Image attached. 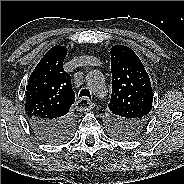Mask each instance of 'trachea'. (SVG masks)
<instances>
[{"label":"trachea","mask_w":184,"mask_h":184,"mask_svg":"<svg viewBox=\"0 0 184 184\" xmlns=\"http://www.w3.org/2000/svg\"><path fill=\"white\" fill-rule=\"evenodd\" d=\"M79 97H88L91 99V94H90V91L88 89H83L81 90L80 94H79Z\"/></svg>","instance_id":"trachea-1"}]
</instances>
